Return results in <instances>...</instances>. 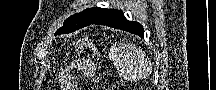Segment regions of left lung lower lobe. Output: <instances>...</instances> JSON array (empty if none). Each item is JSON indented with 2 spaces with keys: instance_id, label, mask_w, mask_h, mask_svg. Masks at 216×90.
Listing matches in <instances>:
<instances>
[{
  "instance_id": "left-lung-lower-lobe-1",
  "label": "left lung lower lobe",
  "mask_w": 216,
  "mask_h": 90,
  "mask_svg": "<svg viewBox=\"0 0 216 90\" xmlns=\"http://www.w3.org/2000/svg\"><path fill=\"white\" fill-rule=\"evenodd\" d=\"M94 24L118 28L139 36H143L144 33L143 27L139 23L127 20L123 12L118 10L111 12L109 15Z\"/></svg>"
}]
</instances>
